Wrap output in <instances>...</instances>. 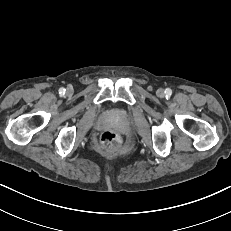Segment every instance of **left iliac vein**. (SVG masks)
<instances>
[{"label":"left iliac vein","mask_w":231,"mask_h":231,"mask_svg":"<svg viewBox=\"0 0 231 231\" xmlns=\"http://www.w3.org/2000/svg\"><path fill=\"white\" fill-rule=\"evenodd\" d=\"M156 94L158 97H164L165 95L164 89L162 88L157 89Z\"/></svg>","instance_id":"obj_1"}]
</instances>
